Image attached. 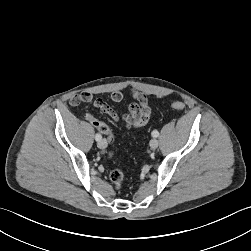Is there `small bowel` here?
I'll return each mask as SVG.
<instances>
[{
  "label": "small bowel",
  "instance_id": "small-bowel-1",
  "mask_svg": "<svg viewBox=\"0 0 251 251\" xmlns=\"http://www.w3.org/2000/svg\"><path fill=\"white\" fill-rule=\"evenodd\" d=\"M131 97L133 102L129 104L128 110L125 114L120 115L113 109L105 100L97 98L93 100L92 94L83 92L73 96L70 99L71 105H78L82 102H92L95 109L108 115L114 122L123 125L127 129H136L145 126L150 118V107L146 95L138 90L132 89ZM123 100V93L120 91L112 92L110 101L112 103H119Z\"/></svg>",
  "mask_w": 251,
  "mask_h": 251
}]
</instances>
